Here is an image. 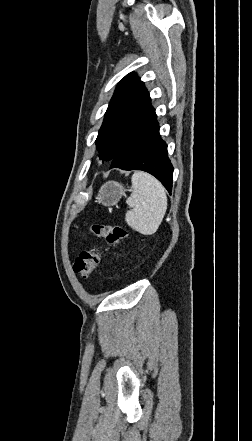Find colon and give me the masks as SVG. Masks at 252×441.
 I'll return each instance as SVG.
<instances>
[{
  "label": "colon",
  "mask_w": 252,
  "mask_h": 441,
  "mask_svg": "<svg viewBox=\"0 0 252 441\" xmlns=\"http://www.w3.org/2000/svg\"><path fill=\"white\" fill-rule=\"evenodd\" d=\"M91 230L97 238L104 239L112 245L120 244L127 236L126 230L119 225L95 224ZM102 256L103 252L98 247L81 252L74 262V272L84 280L89 279Z\"/></svg>",
  "instance_id": "colon-1"
}]
</instances>
